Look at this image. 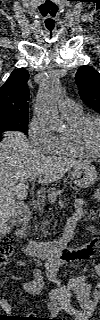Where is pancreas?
Listing matches in <instances>:
<instances>
[{
  "label": "pancreas",
  "instance_id": "cf45deb5",
  "mask_svg": "<svg viewBox=\"0 0 100 320\" xmlns=\"http://www.w3.org/2000/svg\"><path fill=\"white\" fill-rule=\"evenodd\" d=\"M75 190H77V188H74ZM57 191H59V189H57V188H55V187H53V188H51V189H49L47 192L49 193V192H57ZM45 202H46V197L45 196H40L39 198H38V200H37V205H38V207H39V211L40 212H42V207L45 205ZM48 224V222L47 221H42L41 223H40V226L38 227V226H35V230L37 231V230H40L44 235H46L48 232H47V230H46V225ZM42 237V236H41Z\"/></svg>",
  "mask_w": 100,
  "mask_h": 320
}]
</instances>
